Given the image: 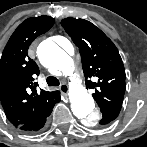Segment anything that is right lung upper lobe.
<instances>
[{
    "instance_id": "obj_1",
    "label": "right lung upper lobe",
    "mask_w": 147,
    "mask_h": 147,
    "mask_svg": "<svg viewBox=\"0 0 147 147\" xmlns=\"http://www.w3.org/2000/svg\"><path fill=\"white\" fill-rule=\"evenodd\" d=\"M54 24L50 16L22 22L10 37L0 60V99L8 120L15 126L30 121L55 102L58 92L37 90L39 67L28 56L33 40Z\"/></svg>"
}]
</instances>
